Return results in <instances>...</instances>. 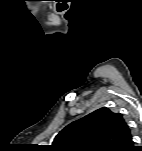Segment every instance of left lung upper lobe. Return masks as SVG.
Segmentation results:
<instances>
[{
	"label": "left lung upper lobe",
	"mask_w": 142,
	"mask_h": 151,
	"mask_svg": "<svg viewBox=\"0 0 142 151\" xmlns=\"http://www.w3.org/2000/svg\"><path fill=\"white\" fill-rule=\"evenodd\" d=\"M132 144L122 114L102 107L67 125L52 147L58 151H128Z\"/></svg>",
	"instance_id": "obj_1"
}]
</instances>
